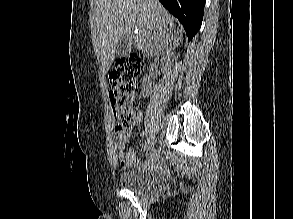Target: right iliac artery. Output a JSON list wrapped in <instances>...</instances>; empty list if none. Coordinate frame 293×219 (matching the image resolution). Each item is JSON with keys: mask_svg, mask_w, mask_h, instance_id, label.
<instances>
[{"mask_svg": "<svg viewBox=\"0 0 293 219\" xmlns=\"http://www.w3.org/2000/svg\"><path fill=\"white\" fill-rule=\"evenodd\" d=\"M150 138H152V135H151V134H147V135H146V140H147V142L149 141Z\"/></svg>", "mask_w": 293, "mask_h": 219, "instance_id": "82829eb1", "label": "right iliac artery"}]
</instances>
